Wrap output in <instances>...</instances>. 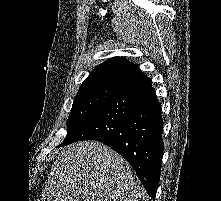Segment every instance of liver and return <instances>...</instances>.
<instances>
[{"label": "liver", "mask_w": 221, "mask_h": 201, "mask_svg": "<svg viewBox=\"0 0 221 201\" xmlns=\"http://www.w3.org/2000/svg\"><path fill=\"white\" fill-rule=\"evenodd\" d=\"M142 188L127 161L97 141L64 148L54 162L43 201H140Z\"/></svg>", "instance_id": "1"}]
</instances>
